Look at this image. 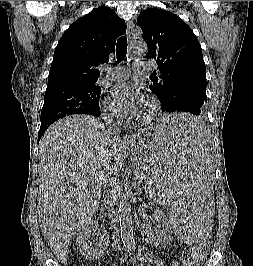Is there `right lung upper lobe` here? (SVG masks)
<instances>
[{"mask_svg": "<svg viewBox=\"0 0 253 266\" xmlns=\"http://www.w3.org/2000/svg\"><path fill=\"white\" fill-rule=\"evenodd\" d=\"M125 31V22L109 7L96 8L74 22L55 49L46 90L96 83L97 67L109 61L116 38Z\"/></svg>", "mask_w": 253, "mask_h": 266, "instance_id": "1", "label": "right lung upper lobe"}]
</instances>
